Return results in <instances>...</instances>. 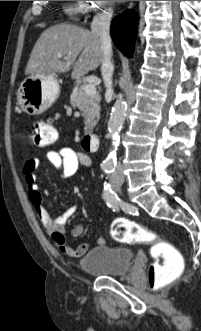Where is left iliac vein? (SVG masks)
I'll use <instances>...</instances> for the list:
<instances>
[{"mask_svg":"<svg viewBox=\"0 0 201 331\" xmlns=\"http://www.w3.org/2000/svg\"><path fill=\"white\" fill-rule=\"evenodd\" d=\"M111 184H112L113 189L119 190L120 185H118L114 179L111 180Z\"/></svg>","mask_w":201,"mask_h":331,"instance_id":"left-iliac-vein-1","label":"left iliac vein"}]
</instances>
